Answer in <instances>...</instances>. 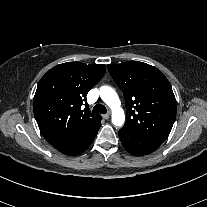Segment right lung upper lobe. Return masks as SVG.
<instances>
[{
    "mask_svg": "<svg viewBox=\"0 0 207 207\" xmlns=\"http://www.w3.org/2000/svg\"><path fill=\"white\" fill-rule=\"evenodd\" d=\"M105 65L67 62L50 69L34 96V116L44 138L55 148L101 120L86 108V95L103 77Z\"/></svg>",
    "mask_w": 207,
    "mask_h": 207,
    "instance_id": "obj_1",
    "label": "right lung upper lobe"
}]
</instances>
